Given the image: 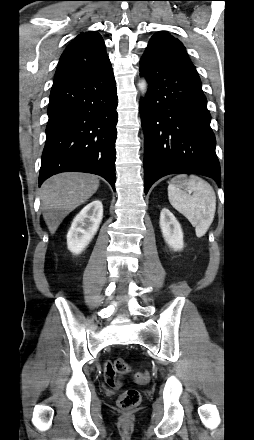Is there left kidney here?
I'll return each instance as SVG.
<instances>
[{
  "instance_id": "1",
  "label": "left kidney",
  "mask_w": 254,
  "mask_h": 440,
  "mask_svg": "<svg viewBox=\"0 0 254 440\" xmlns=\"http://www.w3.org/2000/svg\"><path fill=\"white\" fill-rule=\"evenodd\" d=\"M160 228L166 243L175 251L183 248V232L176 217L166 208L160 213Z\"/></svg>"
}]
</instances>
